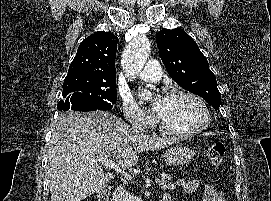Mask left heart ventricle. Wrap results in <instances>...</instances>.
Segmentation results:
<instances>
[{
  "mask_svg": "<svg viewBox=\"0 0 271 201\" xmlns=\"http://www.w3.org/2000/svg\"><path fill=\"white\" fill-rule=\"evenodd\" d=\"M155 112L165 124L178 131L192 130L205 121L201 106L184 96L163 98Z\"/></svg>",
  "mask_w": 271,
  "mask_h": 201,
  "instance_id": "left-heart-ventricle-1",
  "label": "left heart ventricle"
}]
</instances>
